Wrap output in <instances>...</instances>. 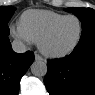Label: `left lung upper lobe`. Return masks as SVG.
<instances>
[{"mask_svg":"<svg viewBox=\"0 0 95 95\" xmlns=\"http://www.w3.org/2000/svg\"><path fill=\"white\" fill-rule=\"evenodd\" d=\"M82 22V35L80 40L95 35V10L91 8H68Z\"/></svg>","mask_w":95,"mask_h":95,"instance_id":"obj_1","label":"left lung upper lobe"}]
</instances>
